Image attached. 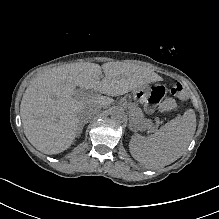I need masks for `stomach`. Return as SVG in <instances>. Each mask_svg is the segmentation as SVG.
Listing matches in <instances>:
<instances>
[{
  "mask_svg": "<svg viewBox=\"0 0 219 219\" xmlns=\"http://www.w3.org/2000/svg\"><path fill=\"white\" fill-rule=\"evenodd\" d=\"M149 92L150 89L147 86L137 88L135 90V97L139 100H143L148 96Z\"/></svg>",
  "mask_w": 219,
  "mask_h": 219,
  "instance_id": "1",
  "label": "stomach"
}]
</instances>
